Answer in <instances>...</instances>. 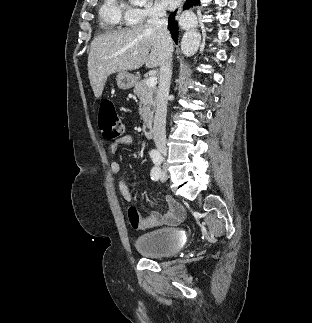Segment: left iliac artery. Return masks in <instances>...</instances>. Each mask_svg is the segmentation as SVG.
Returning <instances> with one entry per match:
<instances>
[{
    "label": "left iliac artery",
    "instance_id": "obj_1",
    "mask_svg": "<svg viewBox=\"0 0 312 323\" xmlns=\"http://www.w3.org/2000/svg\"><path fill=\"white\" fill-rule=\"evenodd\" d=\"M154 161H158L157 159H154ZM155 163V162H154ZM159 176H160V168L158 167H154L152 170H151V179L152 180H158L159 179Z\"/></svg>",
    "mask_w": 312,
    "mask_h": 323
}]
</instances>
